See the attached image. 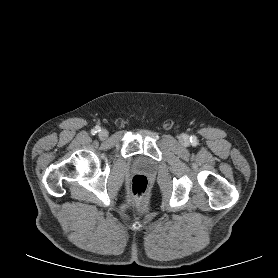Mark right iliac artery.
I'll return each mask as SVG.
<instances>
[{
	"label": "right iliac artery",
	"mask_w": 278,
	"mask_h": 278,
	"mask_svg": "<svg viewBox=\"0 0 278 278\" xmlns=\"http://www.w3.org/2000/svg\"><path fill=\"white\" fill-rule=\"evenodd\" d=\"M98 131H100V128L99 127H95V129L92 130V134H96Z\"/></svg>",
	"instance_id": "obj_1"
}]
</instances>
